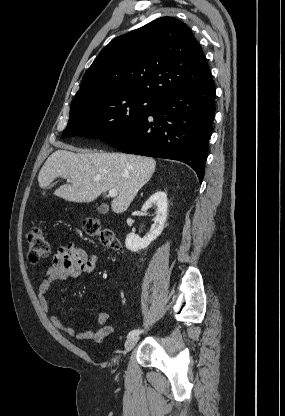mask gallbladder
<instances>
[{
    "label": "gallbladder",
    "mask_w": 285,
    "mask_h": 416,
    "mask_svg": "<svg viewBox=\"0 0 285 416\" xmlns=\"http://www.w3.org/2000/svg\"><path fill=\"white\" fill-rule=\"evenodd\" d=\"M97 212H99V214H107V212H109V206L102 204V206H98Z\"/></svg>",
    "instance_id": "obj_1"
}]
</instances>
